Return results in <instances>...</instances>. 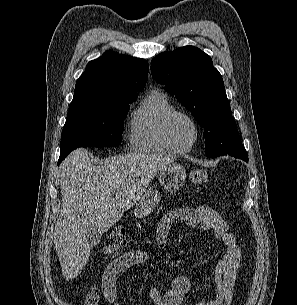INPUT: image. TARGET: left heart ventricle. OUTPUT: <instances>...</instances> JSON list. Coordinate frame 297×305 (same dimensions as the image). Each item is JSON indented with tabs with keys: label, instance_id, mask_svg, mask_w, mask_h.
<instances>
[{
	"label": "left heart ventricle",
	"instance_id": "1",
	"mask_svg": "<svg viewBox=\"0 0 297 305\" xmlns=\"http://www.w3.org/2000/svg\"><path fill=\"white\" fill-rule=\"evenodd\" d=\"M173 141L180 147L188 146L194 137L191 123L184 117L175 118L170 126Z\"/></svg>",
	"mask_w": 297,
	"mask_h": 305
}]
</instances>
